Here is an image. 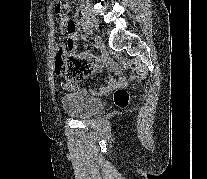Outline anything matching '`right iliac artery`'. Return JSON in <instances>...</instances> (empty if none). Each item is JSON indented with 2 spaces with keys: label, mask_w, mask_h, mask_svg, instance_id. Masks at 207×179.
<instances>
[{
  "label": "right iliac artery",
  "mask_w": 207,
  "mask_h": 179,
  "mask_svg": "<svg viewBox=\"0 0 207 179\" xmlns=\"http://www.w3.org/2000/svg\"><path fill=\"white\" fill-rule=\"evenodd\" d=\"M80 23H81V26H82L83 31H84L87 35H91V34H92V30H91V28L89 27V25L86 23V21H84L83 19H81Z\"/></svg>",
  "instance_id": "obj_1"
}]
</instances>
